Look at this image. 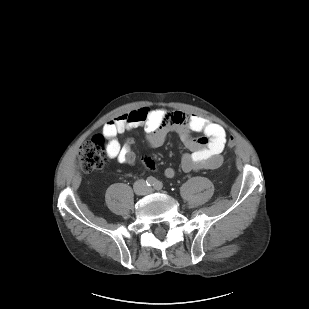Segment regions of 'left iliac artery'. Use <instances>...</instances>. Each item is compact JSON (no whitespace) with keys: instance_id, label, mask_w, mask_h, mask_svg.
Instances as JSON below:
<instances>
[{"instance_id":"left-iliac-artery-1","label":"left iliac artery","mask_w":309,"mask_h":309,"mask_svg":"<svg viewBox=\"0 0 309 309\" xmlns=\"http://www.w3.org/2000/svg\"><path fill=\"white\" fill-rule=\"evenodd\" d=\"M154 188H155L156 190H161V189L163 188L162 182H161V181H156V182H155V185H154Z\"/></svg>"}]
</instances>
